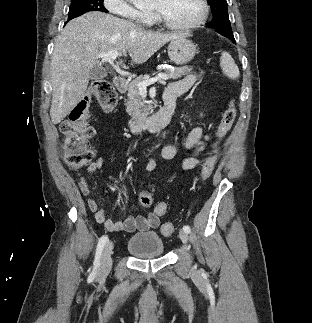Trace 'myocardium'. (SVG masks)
<instances>
[{
    "label": "myocardium",
    "mask_w": 312,
    "mask_h": 323,
    "mask_svg": "<svg viewBox=\"0 0 312 323\" xmlns=\"http://www.w3.org/2000/svg\"><path fill=\"white\" fill-rule=\"evenodd\" d=\"M199 2L201 5L200 18H193V20H170L162 10L156 12L155 17L159 25H168L171 31H196L197 25H202L203 21L209 20V15L212 11V5L209 3V0H199Z\"/></svg>",
    "instance_id": "obj_1"
}]
</instances>
